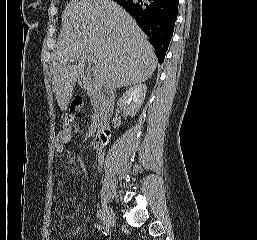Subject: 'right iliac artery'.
<instances>
[{
  "instance_id": "right-iliac-artery-1",
  "label": "right iliac artery",
  "mask_w": 257,
  "mask_h": 240,
  "mask_svg": "<svg viewBox=\"0 0 257 240\" xmlns=\"http://www.w3.org/2000/svg\"><path fill=\"white\" fill-rule=\"evenodd\" d=\"M97 219L101 220L104 217L103 211L100 209L96 213Z\"/></svg>"
}]
</instances>
